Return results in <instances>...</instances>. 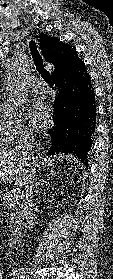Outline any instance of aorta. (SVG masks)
<instances>
[{"label":"aorta","mask_w":113,"mask_h":279,"mask_svg":"<svg viewBox=\"0 0 113 279\" xmlns=\"http://www.w3.org/2000/svg\"><path fill=\"white\" fill-rule=\"evenodd\" d=\"M15 67H17V64L13 65L10 69L12 70ZM7 108L11 113L18 114L23 109V100L20 97H12L8 101Z\"/></svg>","instance_id":"1"}]
</instances>
